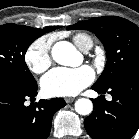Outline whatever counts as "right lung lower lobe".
<instances>
[{
	"label": "right lung lower lobe",
	"mask_w": 139,
	"mask_h": 139,
	"mask_svg": "<svg viewBox=\"0 0 139 139\" xmlns=\"http://www.w3.org/2000/svg\"><path fill=\"white\" fill-rule=\"evenodd\" d=\"M37 83L27 88L0 80V139H47L54 113L66 105L64 99L40 100L26 106L37 95Z\"/></svg>",
	"instance_id": "98d812e1"
}]
</instances>
